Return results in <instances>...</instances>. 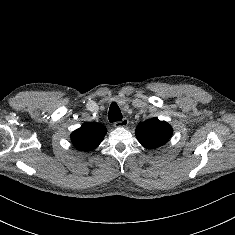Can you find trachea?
Wrapping results in <instances>:
<instances>
[{
  "label": "trachea",
  "instance_id": "trachea-1",
  "mask_svg": "<svg viewBox=\"0 0 235 235\" xmlns=\"http://www.w3.org/2000/svg\"><path fill=\"white\" fill-rule=\"evenodd\" d=\"M108 118L110 122H116L122 120V114L120 108L115 102H113L110 105Z\"/></svg>",
  "mask_w": 235,
  "mask_h": 235
}]
</instances>
